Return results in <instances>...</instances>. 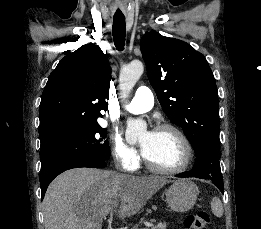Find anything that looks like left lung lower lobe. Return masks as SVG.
<instances>
[{"label":"left lung lower lobe","instance_id":"left-lung-lower-lobe-1","mask_svg":"<svg viewBox=\"0 0 261 229\" xmlns=\"http://www.w3.org/2000/svg\"><path fill=\"white\" fill-rule=\"evenodd\" d=\"M196 163L192 171L176 175V177H197L210 179L224 193L223 177L220 171L219 148L206 147L196 155Z\"/></svg>","mask_w":261,"mask_h":229}]
</instances>
